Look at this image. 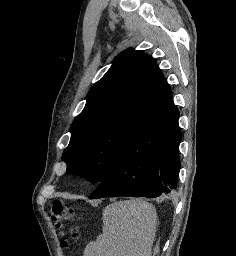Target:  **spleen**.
<instances>
[{"instance_id": "1", "label": "spleen", "mask_w": 236, "mask_h": 256, "mask_svg": "<svg viewBox=\"0 0 236 256\" xmlns=\"http://www.w3.org/2000/svg\"><path fill=\"white\" fill-rule=\"evenodd\" d=\"M157 214L148 202H114L103 212V234L84 256H151Z\"/></svg>"}]
</instances>
